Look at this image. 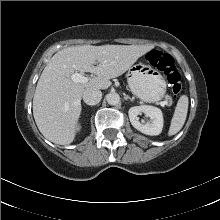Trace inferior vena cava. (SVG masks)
Masks as SVG:
<instances>
[{"instance_id": "obj_1", "label": "inferior vena cava", "mask_w": 220, "mask_h": 220, "mask_svg": "<svg viewBox=\"0 0 220 220\" xmlns=\"http://www.w3.org/2000/svg\"><path fill=\"white\" fill-rule=\"evenodd\" d=\"M102 92L99 89L88 88L83 92V100L88 105H96L101 101Z\"/></svg>"}]
</instances>
